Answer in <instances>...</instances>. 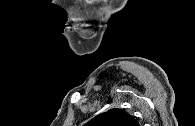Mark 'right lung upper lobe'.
<instances>
[{
  "instance_id": "right-lung-upper-lobe-1",
  "label": "right lung upper lobe",
  "mask_w": 195,
  "mask_h": 126,
  "mask_svg": "<svg viewBox=\"0 0 195 126\" xmlns=\"http://www.w3.org/2000/svg\"><path fill=\"white\" fill-rule=\"evenodd\" d=\"M85 126H139L137 120L121 109H111L101 113Z\"/></svg>"
}]
</instances>
